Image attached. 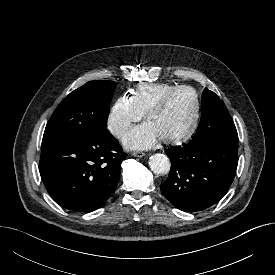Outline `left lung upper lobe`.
<instances>
[{
    "mask_svg": "<svg viewBox=\"0 0 275 275\" xmlns=\"http://www.w3.org/2000/svg\"><path fill=\"white\" fill-rule=\"evenodd\" d=\"M236 143L238 134L224 102L212 91L202 94V114L197 132L189 144Z\"/></svg>",
    "mask_w": 275,
    "mask_h": 275,
    "instance_id": "5c2ea615",
    "label": "left lung upper lobe"
}]
</instances>
